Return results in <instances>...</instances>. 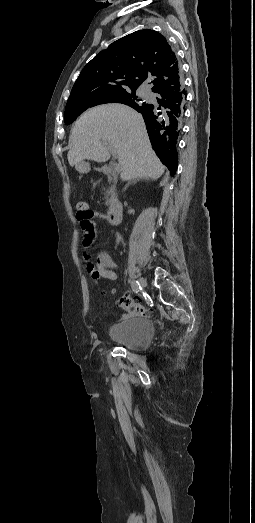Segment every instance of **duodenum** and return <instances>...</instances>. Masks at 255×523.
<instances>
[{
  "instance_id": "410a0bca",
  "label": "duodenum",
  "mask_w": 255,
  "mask_h": 523,
  "mask_svg": "<svg viewBox=\"0 0 255 523\" xmlns=\"http://www.w3.org/2000/svg\"><path fill=\"white\" fill-rule=\"evenodd\" d=\"M100 171L108 176H113L114 166L112 164L103 165ZM123 208L121 203L116 198H111L109 208L107 211V221L112 226H117L122 220Z\"/></svg>"
}]
</instances>
